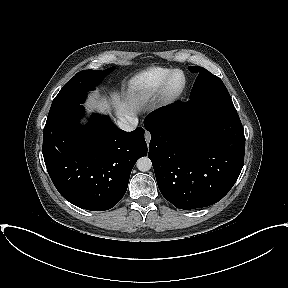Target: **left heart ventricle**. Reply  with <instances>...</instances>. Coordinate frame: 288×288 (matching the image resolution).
<instances>
[{
    "instance_id": "1",
    "label": "left heart ventricle",
    "mask_w": 288,
    "mask_h": 288,
    "mask_svg": "<svg viewBox=\"0 0 288 288\" xmlns=\"http://www.w3.org/2000/svg\"><path fill=\"white\" fill-rule=\"evenodd\" d=\"M180 81V76H176L175 83H178Z\"/></svg>"
}]
</instances>
